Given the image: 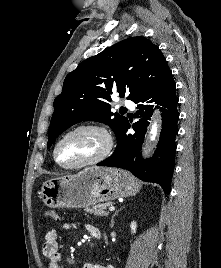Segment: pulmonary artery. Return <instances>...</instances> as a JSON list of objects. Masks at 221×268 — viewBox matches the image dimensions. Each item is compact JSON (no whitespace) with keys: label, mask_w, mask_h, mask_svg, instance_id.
I'll return each instance as SVG.
<instances>
[{"label":"pulmonary artery","mask_w":221,"mask_h":268,"mask_svg":"<svg viewBox=\"0 0 221 268\" xmlns=\"http://www.w3.org/2000/svg\"><path fill=\"white\" fill-rule=\"evenodd\" d=\"M124 105L129 108L130 110H134L135 104L130 100H125Z\"/></svg>","instance_id":"obj_1"}]
</instances>
